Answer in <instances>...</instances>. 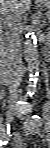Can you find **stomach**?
I'll use <instances>...</instances> for the list:
<instances>
[{
  "mask_svg": "<svg viewBox=\"0 0 50 148\" xmlns=\"http://www.w3.org/2000/svg\"><path fill=\"white\" fill-rule=\"evenodd\" d=\"M42 2L45 3V4H47V5L50 4V2L48 0H42Z\"/></svg>",
  "mask_w": 50,
  "mask_h": 148,
  "instance_id": "stomach-1",
  "label": "stomach"
}]
</instances>
